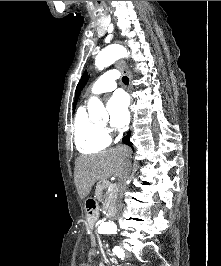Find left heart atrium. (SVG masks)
<instances>
[{
  "label": "left heart atrium",
  "mask_w": 221,
  "mask_h": 266,
  "mask_svg": "<svg viewBox=\"0 0 221 266\" xmlns=\"http://www.w3.org/2000/svg\"><path fill=\"white\" fill-rule=\"evenodd\" d=\"M128 99L124 93H115L107 103L110 124L115 128L126 126L130 119Z\"/></svg>",
  "instance_id": "left-heart-atrium-1"
}]
</instances>
